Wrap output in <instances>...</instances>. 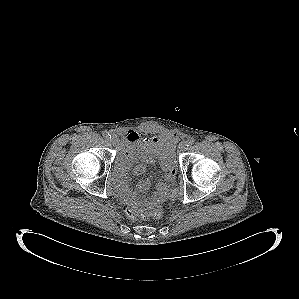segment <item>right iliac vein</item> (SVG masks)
Segmentation results:
<instances>
[{"label":"right iliac vein","instance_id":"obj_1","mask_svg":"<svg viewBox=\"0 0 299 299\" xmlns=\"http://www.w3.org/2000/svg\"><path fill=\"white\" fill-rule=\"evenodd\" d=\"M110 142L115 145L118 142V137L115 134H112L111 138H110Z\"/></svg>","mask_w":299,"mask_h":299}]
</instances>
